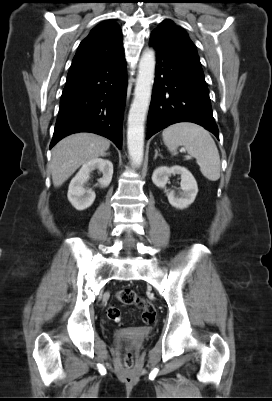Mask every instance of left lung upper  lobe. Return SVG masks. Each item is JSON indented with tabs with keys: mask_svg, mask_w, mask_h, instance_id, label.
I'll list each match as a JSON object with an SVG mask.
<instances>
[{
	"mask_svg": "<svg viewBox=\"0 0 272 401\" xmlns=\"http://www.w3.org/2000/svg\"><path fill=\"white\" fill-rule=\"evenodd\" d=\"M164 41L175 49L199 58L195 45L190 40L188 34L179 26H176L171 20H165L159 27L153 30Z\"/></svg>",
	"mask_w": 272,
	"mask_h": 401,
	"instance_id": "left-lung-upper-lobe-1",
	"label": "left lung upper lobe"
}]
</instances>
